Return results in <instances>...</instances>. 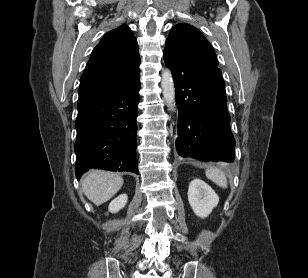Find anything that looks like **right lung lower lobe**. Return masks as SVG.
Masks as SVG:
<instances>
[{"label": "right lung lower lobe", "mask_w": 308, "mask_h": 278, "mask_svg": "<svg viewBox=\"0 0 308 278\" xmlns=\"http://www.w3.org/2000/svg\"><path fill=\"white\" fill-rule=\"evenodd\" d=\"M115 93L79 99L75 143L77 179L89 168L138 174L136 132L140 82Z\"/></svg>", "instance_id": "98d812e1"}]
</instances>
